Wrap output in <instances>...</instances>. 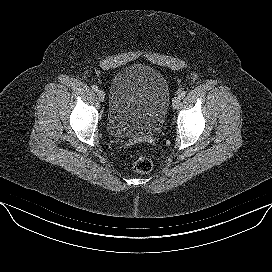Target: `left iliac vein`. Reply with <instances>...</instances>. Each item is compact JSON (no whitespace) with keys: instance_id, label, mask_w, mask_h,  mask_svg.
I'll return each instance as SVG.
<instances>
[{"instance_id":"obj_1","label":"left iliac vein","mask_w":272,"mask_h":272,"mask_svg":"<svg viewBox=\"0 0 272 272\" xmlns=\"http://www.w3.org/2000/svg\"><path fill=\"white\" fill-rule=\"evenodd\" d=\"M181 102V97L180 96H175L172 100V105L174 108H177L180 105Z\"/></svg>"}]
</instances>
